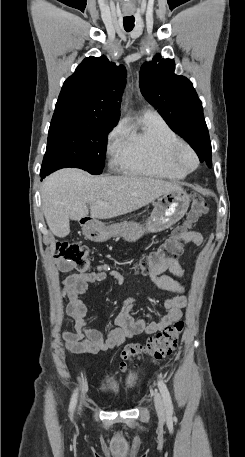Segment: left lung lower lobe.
Masks as SVG:
<instances>
[{
  "mask_svg": "<svg viewBox=\"0 0 245 457\" xmlns=\"http://www.w3.org/2000/svg\"><path fill=\"white\" fill-rule=\"evenodd\" d=\"M198 156L201 162L205 161L209 167L212 166L210 142H207L202 146V148L199 150Z\"/></svg>",
  "mask_w": 245,
  "mask_h": 457,
  "instance_id": "left-lung-lower-lobe-1",
  "label": "left lung lower lobe"
}]
</instances>
